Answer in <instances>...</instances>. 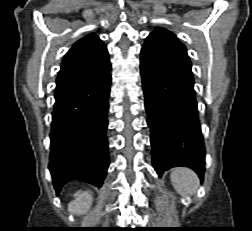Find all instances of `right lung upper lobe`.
<instances>
[{
  "label": "right lung upper lobe",
  "mask_w": 252,
  "mask_h": 231,
  "mask_svg": "<svg viewBox=\"0 0 252 231\" xmlns=\"http://www.w3.org/2000/svg\"><path fill=\"white\" fill-rule=\"evenodd\" d=\"M111 70L108 51L94 33L74 43L61 63L56 79L55 97L62 96Z\"/></svg>",
  "instance_id": "cb5924a9"
}]
</instances>
